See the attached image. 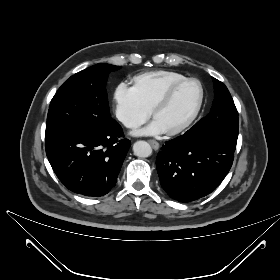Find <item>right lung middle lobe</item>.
<instances>
[{
    "mask_svg": "<svg viewBox=\"0 0 280 280\" xmlns=\"http://www.w3.org/2000/svg\"><path fill=\"white\" fill-rule=\"evenodd\" d=\"M120 66L100 63L80 71L58 89L47 115L45 138L71 128H105L110 116L106 82Z\"/></svg>",
    "mask_w": 280,
    "mask_h": 280,
    "instance_id": "1",
    "label": "right lung middle lobe"
}]
</instances>
